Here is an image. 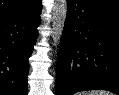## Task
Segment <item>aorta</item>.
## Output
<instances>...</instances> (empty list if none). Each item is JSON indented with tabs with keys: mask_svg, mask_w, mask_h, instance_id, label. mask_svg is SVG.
I'll use <instances>...</instances> for the list:
<instances>
[{
	"mask_svg": "<svg viewBox=\"0 0 119 95\" xmlns=\"http://www.w3.org/2000/svg\"><path fill=\"white\" fill-rule=\"evenodd\" d=\"M67 16V1L66 0H55L53 7V19H52V38L55 46L59 45L65 20Z\"/></svg>",
	"mask_w": 119,
	"mask_h": 95,
	"instance_id": "1",
	"label": "aorta"
}]
</instances>
